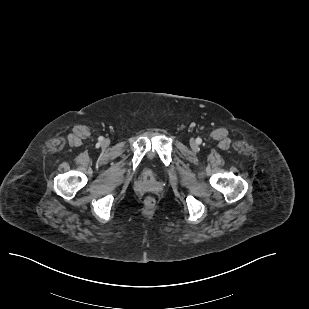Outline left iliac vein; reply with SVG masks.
I'll return each instance as SVG.
<instances>
[{
  "label": "left iliac vein",
  "instance_id": "obj_1",
  "mask_svg": "<svg viewBox=\"0 0 309 309\" xmlns=\"http://www.w3.org/2000/svg\"><path fill=\"white\" fill-rule=\"evenodd\" d=\"M191 147H192L193 149H196V148H197V144H196L195 141H192V142H191Z\"/></svg>",
  "mask_w": 309,
  "mask_h": 309
}]
</instances>
